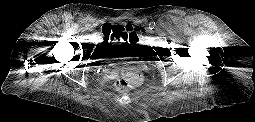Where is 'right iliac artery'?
Listing matches in <instances>:
<instances>
[{
    "label": "right iliac artery",
    "instance_id": "right-iliac-artery-1",
    "mask_svg": "<svg viewBox=\"0 0 255 122\" xmlns=\"http://www.w3.org/2000/svg\"><path fill=\"white\" fill-rule=\"evenodd\" d=\"M85 29L88 30V31H90V30H91V26H90V25H86V26H85Z\"/></svg>",
    "mask_w": 255,
    "mask_h": 122
}]
</instances>
